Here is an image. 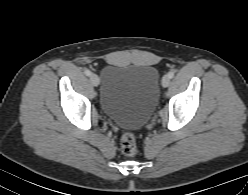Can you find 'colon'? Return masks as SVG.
I'll return each mask as SVG.
<instances>
[{"label": "colon", "mask_w": 248, "mask_h": 195, "mask_svg": "<svg viewBox=\"0 0 248 195\" xmlns=\"http://www.w3.org/2000/svg\"><path fill=\"white\" fill-rule=\"evenodd\" d=\"M121 151L126 156H134L137 152L136 138L133 133L127 132L121 138Z\"/></svg>", "instance_id": "obj_1"}]
</instances>
